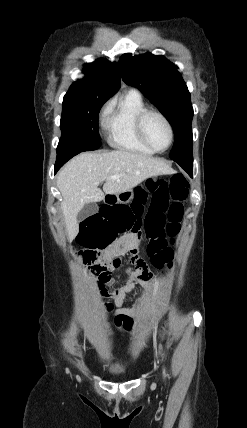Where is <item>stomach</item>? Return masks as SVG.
<instances>
[{
    "label": "stomach",
    "instance_id": "stomach-1",
    "mask_svg": "<svg viewBox=\"0 0 247 428\" xmlns=\"http://www.w3.org/2000/svg\"><path fill=\"white\" fill-rule=\"evenodd\" d=\"M158 179H159V177H158V176H153V177H150V178L148 179V181L156 182ZM125 196H127V198H126L125 200H122V201H124V202H129L131 199H133V198H134V192H133V190H129V191H126V192L120 193V194L117 196V198L121 200V199L125 198Z\"/></svg>",
    "mask_w": 247,
    "mask_h": 428
}]
</instances>
